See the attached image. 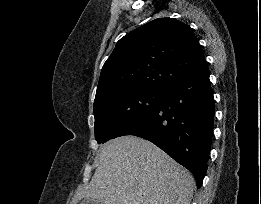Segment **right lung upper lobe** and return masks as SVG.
<instances>
[{"instance_id": "cb5924a9", "label": "right lung upper lobe", "mask_w": 261, "mask_h": 204, "mask_svg": "<svg viewBox=\"0 0 261 204\" xmlns=\"http://www.w3.org/2000/svg\"><path fill=\"white\" fill-rule=\"evenodd\" d=\"M205 61L188 25L172 18L155 19L117 42L103 65L94 103L120 90L165 91Z\"/></svg>"}]
</instances>
